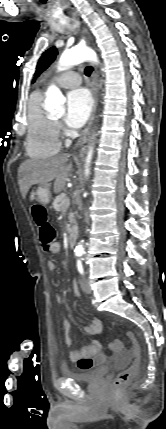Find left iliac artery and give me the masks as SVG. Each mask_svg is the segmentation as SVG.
<instances>
[{
	"label": "left iliac artery",
	"mask_w": 166,
	"mask_h": 429,
	"mask_svg": "<svg viewBox=\"0 0 166 429\" xmlns=\"http://www.w3.org/2000/svg\"><path fill=\"white\" fill-rule=\"evenodd\" d=\"M77 269H78V271H79L80 274L84 273L81 260L77 261Z\"/></svg>",
	"instance_id": "44dca946"
}]
</instances>
